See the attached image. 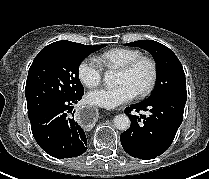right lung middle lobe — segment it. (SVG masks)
Segmentation results:
<instances>
[{
    "label": "right lung middle lobe",
    "instance_id": "dd1d6c3e",
    "mask_svg": "<svg viewBox=\"0 0 209 179\" xmlns=\"http://www.w3.org/2000/svg\"><path fill=\"white\" fill-rule=\"evenodd\" d=\"M105 46L73 43L44 47L28 72L25 87L28 117L53 102L84 94L78 78L79 65L89 54Z\"/></svg>",
    "mask_w": 209,
    "mask_h": 179
}]
</instances>
